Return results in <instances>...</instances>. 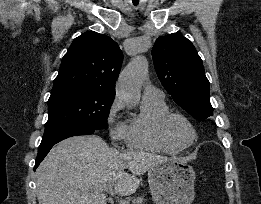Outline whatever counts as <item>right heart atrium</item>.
I'll return each mask as SVG.
<instances>
[{
  "mask_svg": "<svg viewBox=\"0 0 261 204\" xmlns=\"http://www.w3.org/2000/svg\"><path fill=\"white\" fill-rule=\"evenodd\" d=\"M123 109L122 102L115 98L110 104L106 114V125L109 137L114 144L127 142V123L120 119Z\"/></svg>",
  "mask_w": 261,
  "mask_h": 204,
  "instance_id": "d8ad5b80",
  "label": "right heart atrium"
}]
</instances>
